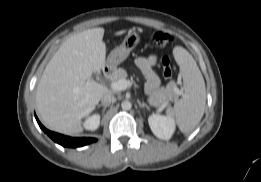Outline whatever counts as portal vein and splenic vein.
Segmentation results:
<instances>
[{
  "mask_svg": "<svg viewBox=\"0 0 261 182\" xmlns=\"http://www.w3.org/2000/svg\"><path fill=\"white\" fill-rule=\"evenodd\" d=\"M131 81L125 80V79H120L118 81L112 82L111 83V88L114 91H123L126 90L128 87L131 86Z\"/></svg>",
  "mask_w": 261,
  "mask_h": 182,
  "instance_id": "18ae733b",
  "label": "portal vein and splenic vein"
}]
</instances>
